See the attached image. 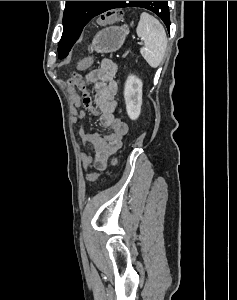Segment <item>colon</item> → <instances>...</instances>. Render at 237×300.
<instances>
[{"label": "colon", "mask_w": 237, "mask_h": 300, "mask_svg": "<svg viewBox=\"0 0 237 300\" xmlns=\"http://www.w3.org/2000/svg\"><path fill=\"white\" fill-rule=\"evenodd\" d=\"M121 18H122V12L120 10H110V11L103 13L100 16L98 22L100 25L113 24V23L120 21ZM92 61L93 60L91 57L84 58L83 60H81L77 63L76 69L84 70L92 64ZM80 77L81 76L79 74H77L75 72L72 73L68 80L69 84L72 86L78 85L80 82ZM115 164H116V159H113L111 161V165H115ZM100 175L101 174L98 172H92V173L87 174L86 179L88 181H95L100 177Z\"/></svg>", "instance_id": "5ec220e1"}]
</instances>
